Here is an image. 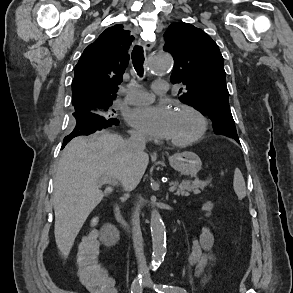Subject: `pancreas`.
<instances>
[{"label":"pancreas","instance_id":"obj_1","mask_svg":"<svg viewBox=\"0 0 293 293\" xmlns=\"http://www.w3.org/2000/svg\"><path fill=\"white\" fill-rule=\"evenodd\" d=\"M210 184V180H183L182 182H171L170 185L176 187L175 195L177 196H189L193 194H200L201 190H204Z\"/></svg>","mask_w":293,"mask_h":293}]
</instances>
